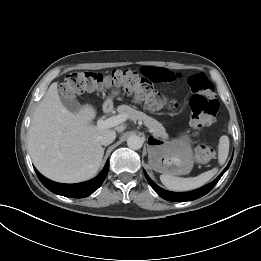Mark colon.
Returning <instances> with one entry per match:
<instances>
[{"mask_svg": "<svg viewBox=\"0 0 261 261\" xmlns=\"http://www.w3.org/2000/svg\"><path fill=\"white\" fill-rule=\"evenodd\" d=\"M188 86L192 93L189 100L191 126L195 131H200L215 121L219 107L215 88L204 73L191 75L188 78ZM110 87H121L127 94L144 102L149 109L157 110L162 107L173 109L178 106L175 101L167 100L154 90L147 77L131 70H114L109 74L92 71L71 72L61 84L60 92L65 97L73 98ZM214 154V149L207 144H202L196 149V159L200 163L209 162Z\"/></svg>", "mask_w": 261, "mask_h": 261, "instance_id": "5ec220e1", "label": "colon"}]
</instances>
